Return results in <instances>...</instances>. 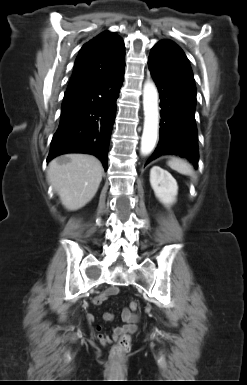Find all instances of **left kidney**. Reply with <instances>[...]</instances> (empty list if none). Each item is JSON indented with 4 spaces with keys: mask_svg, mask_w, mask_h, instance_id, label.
<instances>
[{
    "mask_svg": "<svg viewBox=\"0 0 247 385\" xmlns=\"http://www.w3.org/2000/svg\"><path fill=\"white\" fill-rule=\"evenodd\" d=\"M150 183L156 197L164 204H173L176 201L178 185L173 176L159 166L150 170Z\"/></svg>",
    "mask_w": 247,
    "mask_h": 385,
    "instance_id": "5707ae66",
    "label": "left kidney"
}]
</instances>
